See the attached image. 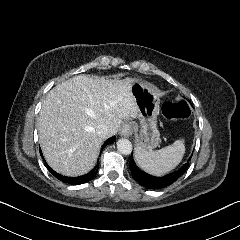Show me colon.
Returning a JSON list of instances; mask_svg holds the SVG:
<instances>
[{
    "mask_svg": "<svg viewBox=\"0 0 240 240\" xmlns=\"http://www.w3.org/2000/svg\"><path fill=\"white\" fill-rule=\"evenodd\" d=\"M162 112L169 120L187 119L191 114V108L187 101L170 102L163 106Z\"/></svg>",
    "mask_w": 240,
    "mask_h": 240,
    "instance_id": "5ec220e1",
    "label": "colon"
}]
</instances>
